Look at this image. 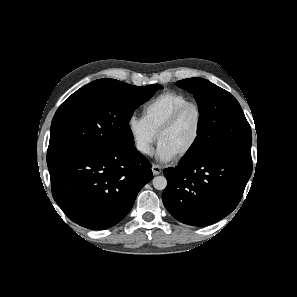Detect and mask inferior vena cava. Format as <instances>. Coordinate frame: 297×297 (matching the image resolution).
Returning <instances> with one entry per match:
<instances>
[{
	"label": "inferior vena cava",
	"instance_id": "1",
	"mask_svg": "<svg viewBox=\"0 0 297 297\" xmlns=\"http://www.w3.org/2000/svg\"><path fill=\"white\" fill-rule=\"evenodd\" d=\"M137 149L146 154H149L151 150L150 145L147 142H138Z\"/></svg>",
	"mask_w": 297,
	"mask_h": 297
}]
</instances>
